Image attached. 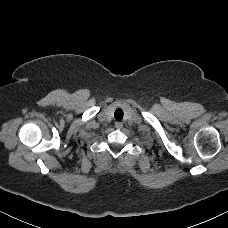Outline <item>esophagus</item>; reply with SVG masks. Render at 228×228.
Here are the masks:
<instances>
[{
	"mask_svg": "<svg viewBox=\"0 0 228 228\" xmlns=\"http://www.w3.org/2000/svg\"><path fill=\"white\" fill-rule=\"evenodd\" d=\"M115 127L120 130L123 127V123L122 122H115Z\"/></svg>",
	"mask_w": 228,
	"mask_h": 228,
	"instance_id": "1",
	"label": "esophagus"
}]
</instances>
